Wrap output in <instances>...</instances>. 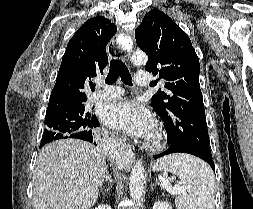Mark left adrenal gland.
<instances>
[{"mask_svg": "<svg viewBox=\"0 0 253 209\" xmlns=\"http://www.w3.org/2000/svg\"><path fill=\"white\" fill-rule=\"evenodd\" d=\"M158 184V180H156V182L151 185V189L154 190V187H156Z\"/></svg>", "mask_w": 253, "mask_h": 209, "instance_id": "obj_1", "label": "left adrenal gland"}]
</instances>
